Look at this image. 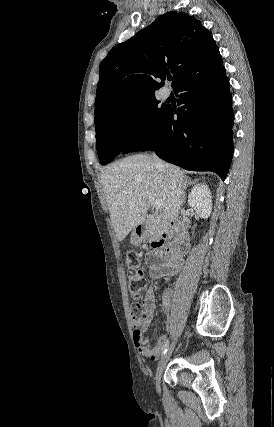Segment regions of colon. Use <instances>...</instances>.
<instances>
[{
	"label": "colon",
	"mask_w": 274,
	"mask_h": 427,
	"mask_svg": "<svg viewBox=\"0 0 274 427\" xmlns=\"http://www.w3.org/2000/svg\"><path fill=\"white\" fill-rule=\"evenodd\" d=\"M141 259L140 254L130 252L128 258V288L132 295H137L145 286L143 270L140 268ZM130 313L133 319H140L143 316V308L139 303H132L130 305Z\"/></svg>",
	"instance_id": "colon-1"
}]
</instances>
